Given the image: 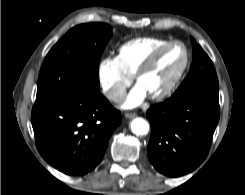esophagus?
<instances>
[{"instance_id": "esophagus-1", "label": "esophagus", "mask_w": 245, "mask_h": 195, "mask_svg": "<svg viewBox=\"0 0 245 195\" xmlns=\"http://www.w3.org/2000/svg\"><path fill=\"white\" fill-rule=\"evenodd\" d=\"M136 116L135 113H125V117L128 119L134 118Z\"/></svg>"}]
</instances>
